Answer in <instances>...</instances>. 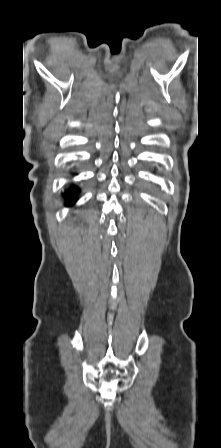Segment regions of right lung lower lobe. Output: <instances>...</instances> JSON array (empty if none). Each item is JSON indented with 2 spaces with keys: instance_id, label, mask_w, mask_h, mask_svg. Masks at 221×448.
<instances>
[{
  "instance_id": "obj_1",
  "label": "right lung lower lobe",
  "mask_w": 221,
  "mask_h": 448,
  "mask_svg": "<svg viewBox=\"0 0 221 448\" xmlns=\"http://www.w3.org/2000/svg\"><path fill=\"white\" fill-rule=\"evenodd\" d=\"M79 190L77 188H72L70 191V198L67 202V205H71L75 202L76 198H77V194H78Z\"/></svg>"
}]
</instances>
